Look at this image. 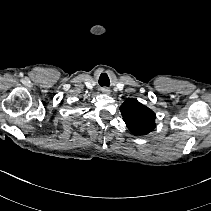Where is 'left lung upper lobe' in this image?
<instances>
[{
    "label": "left lung upper lobe",
    "mask_w": 211,
    "mask_h": 211,
    "mask_svg": "<svg viewBox=\"0 0 211 211\" xmlns=\"http://www.w3.org/2000/svg\"><path fill=\"white\" fill-rule=\"evenodd\" d=\"M127 128L135 135H146L155 127V113L135 99H127L120 106Z\"/></svg>",
    "instance_id": "1"
}]
</instances>
